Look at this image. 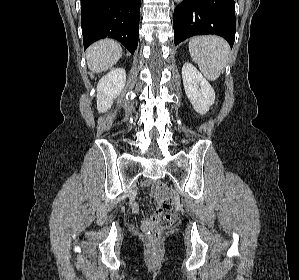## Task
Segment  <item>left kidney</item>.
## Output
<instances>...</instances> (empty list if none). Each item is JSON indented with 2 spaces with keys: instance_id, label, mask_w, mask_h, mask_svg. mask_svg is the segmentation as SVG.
I'll return each instance as SVG.
<instances>
[{
  "instance_id": "5707ae66",
  "label": "left kidney",
  "mask_w": 299,
  "mask_h": 280,
  "mask_svg": "<svg viewBox=\"0 0 299 280\" xmlns=\"http://www.w3.org/2000/svg\"><path fill=\"white\" fill-rule=\"evenodd\" d=\"M185 93L196 112L205 114L215 101V92L203 75L191 64L182 68Z\"/></svg>"
}]
</instances>
